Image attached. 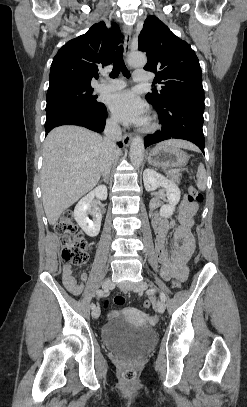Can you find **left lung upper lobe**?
Segmentation results:
<instances>
[{"label":"left lung upper lobe","instance_id":"1","mask_svg":"<svg viewBox=\"0 0 247 407\" xmlns=\"http://www.w3.org/2000/svg\"><path fill=\"white\" fill-rule=\"evenodd\" d=\"M138 49L146 52V71L155 72V82L161 90L153 89L147 101L163 109L173 99L191 98L204 101L202 74L195 52L185 41L175 36L157 17L149 16L139 35Z\"/></svg>","mask_w":247,"mask_h":407}]
</instances>
